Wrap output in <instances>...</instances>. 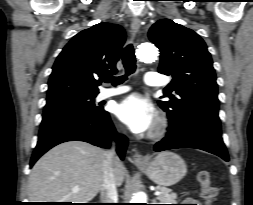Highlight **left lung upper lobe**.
<instances>
[{"instance_id": "obj_1", "label": "left lung upper lobe", "mask_w": 253, "mask_h": 205, "mask_svg": "<svg viewBox=\"0 0 253 205\" xmlns=\"http://www.w3.org/2000/svg\"><path fill=\"white\" fill-rule=\"evenodd\" d=\"M148 36L161 52L158 71L173 78L166 94L170 99L159 101L169 120L183 122L199 112L218 114L216 75L202 38L169 19L153 24ZM172 89L177 97L170 94Z\"/></svg>"}]
</instances>
